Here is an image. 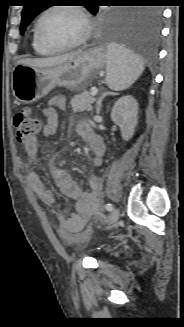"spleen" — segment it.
I'll return each mask as SVG.
<instances>
[{"mask_svg":"<svg viewBox=\"0 0 184 327\" xmlns=\"http://www.w3.org/2000/svg\"><path fill=\"white\" fill-rule=\"evenodd\" d=\"M143 61L130 50L116 44L107 46L106 82L110 89L129 88L143 73Z\"/></svg>","mask_w":184,"mask_h":327,"instance_id":"1","label":"spleen"}]
</instances>
